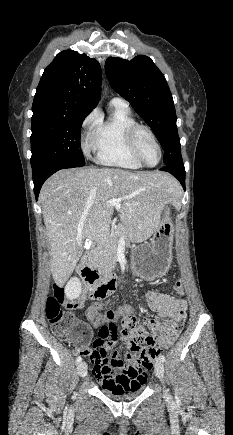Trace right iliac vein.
<instances>
[{
	"label": "right iliac vein",
	"instance_id": "63e3f726",
	"mask_svg": "<svg viewBox=\"0 0 233 435\" xmlns=\"http://www.w3.org/2000/svg\"><path fill=\"white\" fill-rule=\"evenodd\" d=\"M78 374L81 377H85L87 375V365L85 362L78 364L77 366Z\"/></svg>",
	"mask_w": 233,
	"mask_h": 435
}]
</instances>
